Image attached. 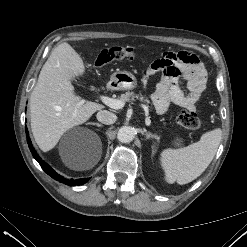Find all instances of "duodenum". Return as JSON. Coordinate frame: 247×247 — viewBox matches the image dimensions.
<instances>
[{
  "label": "duodenum",
  "mask_w": 247,
  "mask_h": 247,
  "mask_svg": "<svg viewBox=\"0 0 247 247\" xmlns=\"http://www.w3.org/2000/svg\"><path fill=\"white\" fill-rule=\"evenodd\" d=\"M112 87V85L108 84L106 85V89H110Z\"/></svg>",
  "instance_id": "410a0bca"
}]
</instances>
